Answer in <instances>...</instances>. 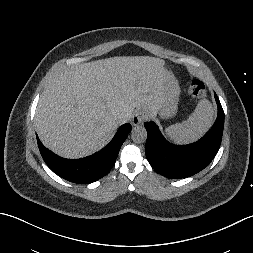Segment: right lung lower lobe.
I'll return each mask as SVG.
<instances>
[{"instance_id":"obj_1","label":"right lung lower lobe","mask_w":253,"mask_h":253,"mask_svg":"<svg viewBox=\"0 0 253 253\" xmlns=\"http://www.w3.org/2000/svg\"><path fill=\"white\" fill-rule=\"evenodd\" d=\"M131 129L130 124L123 125L102 150L92 156L76 160L57 156L44 147L37 135L36 137L42 158L53 172L68 181L89 184L104 177L111 170Z\"/></svg>"}]
</instances>
